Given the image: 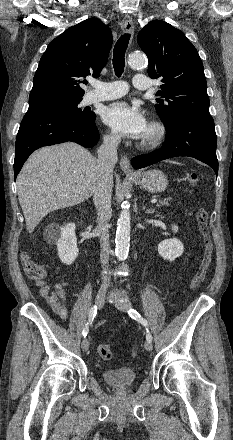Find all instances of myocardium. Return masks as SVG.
<instances>
[{
    "instance_id": "f54148a6",
    "label": "myocardium",
    "mask_w": 233,
    "mask_h": 440,
    "mask_svg": "<svg viewBox=\"0 0 233 440\" xmlns=\"http://www.w3.org/2000/svg\"><path fill=\"white\" fill-rule=\"evenodd\" d=\"M149 132L144 135L139 145L144 149H153L160 145L166 136L165 125L158 121L152 120L148 125Z\"/></svg>"
}]
</instances>
